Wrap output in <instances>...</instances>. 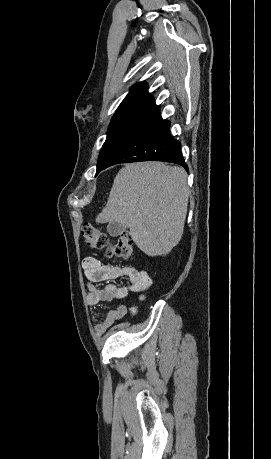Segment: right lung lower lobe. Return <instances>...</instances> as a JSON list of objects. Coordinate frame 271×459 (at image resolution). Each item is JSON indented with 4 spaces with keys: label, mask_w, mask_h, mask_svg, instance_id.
<instances>
[{
    "label": "right lung lower lobe",
    "mask_w": 271,
    "mask_h": 459,
    "mask_svg": "<svg viewBox=\"0 0 271 459\" xmlns=\"http://www.w3.org/2000/svg\"><path fill=\"white\" fill-rule=\"evenodd\" d=\"M150 160L179 164L188 171L181 153V143L171 136L170 122L162 120L160 115L126 142L104 169L118 163Z\"/></svg>",
    "instance_id": "1"
}]
</instances>
